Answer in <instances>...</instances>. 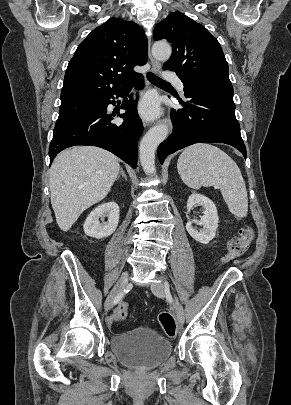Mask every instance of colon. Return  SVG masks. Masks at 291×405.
<instances>
[{
  "label": "colon",
  "instance_id": "colon-1",
  "mask_svg": "<svg viewBox=\"0 0 291 405\" xmlns=\"http://www.w3.org/2000/svg\"><path fill=\"white\" fill-rule=\"evenodd\" d=\"M253 238V230L250 227L241 228L235 236H233L227 245V251L219 260V265L227 264L240 256L248 249ZM129 303L121 302L114 310L109 320L113 325L121 323L128 315ZM159 324L164 333L174 338L177 334V325L173 315L168 311H162L158 314Z\"/></svg>",
  "mask_w": 291,
  "mask_h": 405
}]
</instances>
